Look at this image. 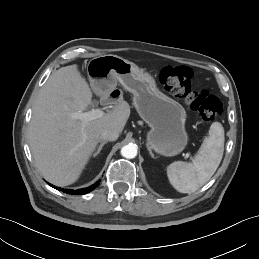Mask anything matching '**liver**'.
<instances>
[{
	"label": "liver",
	"instance_id": "liver-1",
	"mask_svg": "<svg viewBox=\"0 0 259 259\" xmlns=\"http://www.w3.org/2000/svg\"><path fill=\"white\" fill-rule=\"evenodd\" d=\"M92 91L76 64L53 72L33 106L28 130L29 145L41 175L57 186L73 184L80 177L105 129L121 133L130 116L120 101L103 117L89 121L72 117L92 104Z\"/></svg>",
	"mask_w": 259,
	"mask_h": 259
}]
</instances>
